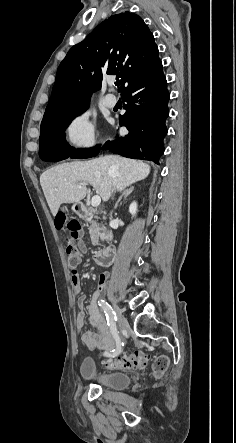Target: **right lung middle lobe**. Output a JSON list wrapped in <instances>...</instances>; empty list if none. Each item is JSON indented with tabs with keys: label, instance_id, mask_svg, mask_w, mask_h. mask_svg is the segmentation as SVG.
Masks as SVG:
<instances>
[{
	"label": "right lung middle lobe",
	"instance_id": "1",
	"mask_svg": "<svg viewBox=\"0 0 236 443\" xmlns=\"http://www.w3.org/2000/svg\"><path fill=\"white\" fill-rule=\"evenodd\" d=\"M87 108L88 105L42 120L39 149L68 144L65 141V129L76 116Z\"/></svg>",
	"mask_w": 236,
	"mask_h": 443
}]
</instances>
